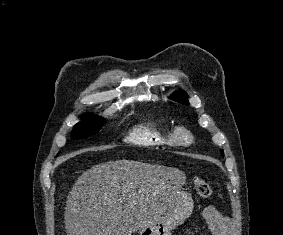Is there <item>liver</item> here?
<instances>
[{"mask_svg":"<svg viewBox=\"0 0 283 235\" xmlns=\"http://www.w3.org/2000/svg\"><path fill=\"white\" fill-rule=\"evenodd\" d=\"M184 183L178 168L133 160L97 164L67 196L66 233L131 235L161 217Z\"/></svg>","mask_w":283,"mask_h":235,"instance_id":"6515ba94","label":"liver"}]
</instances>
